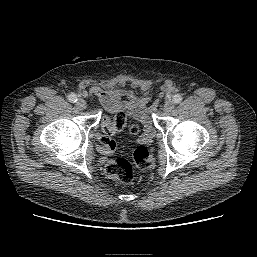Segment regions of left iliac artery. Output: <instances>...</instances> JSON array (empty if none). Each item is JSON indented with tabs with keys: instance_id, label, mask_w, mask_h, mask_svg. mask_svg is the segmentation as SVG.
Instances as JSON below:
<instances>
[{
	"instance_id": "44dca946",
	"label": "left iliac artery",
	"mask_w": 257,
	"mask_h": 257,
	"mask_svg": "<svg viewBox=\"0 0 257 257\" xmlns=\"http://www.w3.org/2000/svg\"><path fill=\"white\" fill-rule=\"evenodd\" d=\"M182 99L183 98H182V96L180 94H176V95L173 96L172 100H173L174 103L178 104V103H180L182 101Z\"/></svg>"
}]
</instances>
